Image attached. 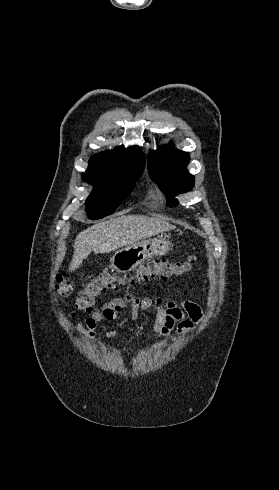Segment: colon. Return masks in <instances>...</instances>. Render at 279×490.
I'll list each match as a JSON object with an SVG mask.
<instances>
[{
    "label": "colon",
    "mask_w": 279,
    "mask_h": 490,
    "mask_svg": "<svg viewBox=\"0 0 279 490\" xmlns=\"http://www.w3.org/2000/svg\"><path fill=\"white\" fill-rule=\"evenodd\" d=\"M195 263L196 257L191 255L183 261L148 260L141 264L134 274L103 273L85 284L83 290L75 298V309L80 312H89L92 310L94 298L108 289H126L131 285L146 282L154 277L167 279L179 276L191 270ZM72 288L73 282L70 279L64 276L57 278L55 294L58 299L66 298Z\"/></svg>",
    "instance_id": "5ec220e1"
}]
</instances>
